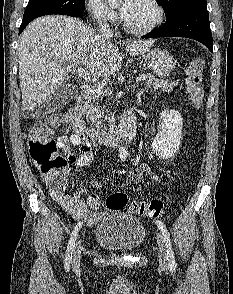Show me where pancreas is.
I'll use <instances>...</instances> for the list:
<instances>
[{"label":"pancreas","instance_id":"1","mask_svg":"<svg viewBox=\"0 0 233 294\" xmlns=\"http://www.w3.org/2000/svg\"><path fill=\"white\" fill-rule=\"evenodd\" d=\"M145 85L149 89H162L164 92H167L173 90V88L178 85V81L157 79L150 74H146ZM84 109L85 114L90 118V120L95 123L97 127H100L102 123L99 120L101 117L99 107H94L92 102H87Z\"/></svg>","mask_w":233,"mask_h":294}]
</instances>
